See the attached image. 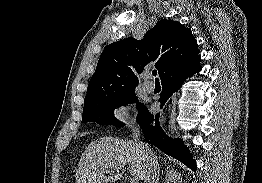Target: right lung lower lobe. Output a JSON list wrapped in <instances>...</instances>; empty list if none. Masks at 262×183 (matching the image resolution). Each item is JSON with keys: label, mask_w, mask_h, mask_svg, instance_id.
<instances>
[{"label": "right lung lower lobe", "mask_w": 262, "mask_h": 183, "mask_svg": "<svg viewBox=\"0 0 262 183\" xmlns=\"http://www.w3.org/2000/svg\"><path fill=\"white\" fill-rule=\"evenodd\" d=\"M200 70L201 66L199 63L186 71L171 75L162 80V92L159 99L161 103L160 107L165 104L175 91L180 89L187 77L193 76V74L198 73ZM159 115V113L156 115L150 114L145 106L138 114L136 120L144 133L145 140L164 153L178 159L193 171H196V162L192 159L189 150L183 146L182 141L180 139H171L160 127L158 122Z\"/></svg>", "instance_id": "obj_1"}]
</instances>
